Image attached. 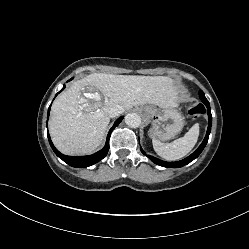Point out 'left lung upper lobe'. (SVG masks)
<instances>
[{"mask_svg": "<svg viewBox=\"0 0 249 249\" xmlns=\"http://www.w3.org/2000/svg\"><path fill=\"white\" fill-rule=\"evenodd\" d=\"M202 95H204V93H203V91H200L199 96H202Z\"/></svg>", "mask_w": 249, "mask_h": 249, "instance_id": "left-lung-upper-lobe-1", "label": "left lung upper lobe"}]
</instances>
